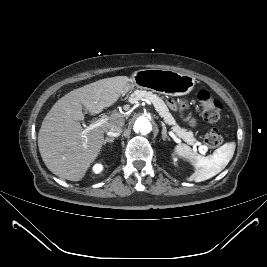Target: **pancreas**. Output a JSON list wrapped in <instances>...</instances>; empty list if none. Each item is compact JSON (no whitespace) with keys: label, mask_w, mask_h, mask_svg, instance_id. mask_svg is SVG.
<instances>
[{"label":"pancreas","mask_w":267,"mask_h":267,"mask_svg":"<svg viewBox=\"0 0 267 267\" xmlns=\"http://www.w3.org/2000/svg\"><path fill=\"white\" fill-rule=\"evenodd\" d=\"M142 98L148 99L153 103L155 109L160 113L161 117H163L165 123L172 126L173 132L179 138L183 139L189 145L195 144L196 139L193 136V132L187 131L186 129L180 128L178 126L175 119L169 112V109L166 106L165 102L157 94H153L152 92L145 90H136L130 95L128 100L133 104Z\"/></svg>","instance_id":"obj_1"}]
</instances>
